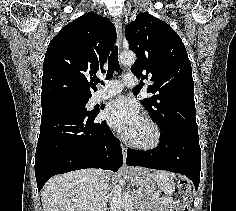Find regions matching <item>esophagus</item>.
<instances>
[{"instance_id": "34e87169", "label": "esophagus", "mask_w": 236, "mask_h": 211, "mask_svg": "<svg viewBox=\"0 0 236 211\" xmlns=\"http://www.w3.org/2000/svg\"><path fill=\"white\" fill-rule=\"evenodd\" d=\"M113 23H114L116 31H117V44L120 49L121 45H122V23H121L120 19H118V18H114ZM121 150H122V154H123L124 166H127L126 165L127 148L123 144H121Z\"/></svg>"}]
</instances>
